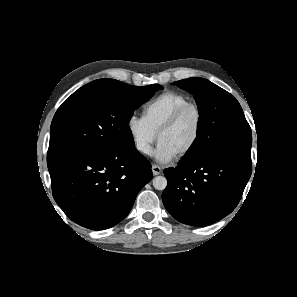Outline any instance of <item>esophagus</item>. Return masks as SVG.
I'll use <instances>...</instances> for the list:
<instances>
[{
  "instance_id": "1",
  "label": "esophagus",
  "mask_w": 297,
  "mask_h": 297,
  "mask_svg": "<svg viewBox=\"0 0 297 297\" xmlns=\"http://www.w3.org/2000/svg\"><path fill=\"white\" fill-rule=\"evenodd\" d=\"M162 172V168L158 165H152V173L153 175H159Z\"/></svg>"
}]
</instances>
